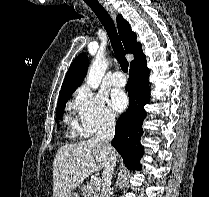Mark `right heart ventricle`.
<instances>
[{
    "label": "right heart ventricle",
    "mask_w": 209,
    "mask_h": 197,
    "mask_svg": "<svg viewBox=\"0 0 209 197\" xmlns=\"http://www.w3.org/2000/svg\"><path fill=\"white\" fill-rule=\"evenodd\" d=\"M65 121L71 127L74 134L79 132V125L71 116H67Z\"/></svg>",
    "instance_id": "e07e8e85"
}]
</instances>
